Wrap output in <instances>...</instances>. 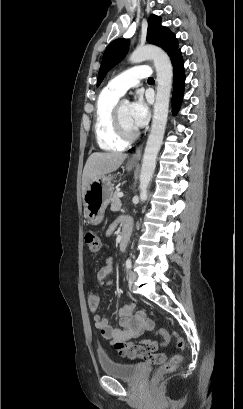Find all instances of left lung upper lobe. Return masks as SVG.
I'll list each match as a JSON object with an SVG mask.
<instances>
[{
	"label": "left lung upper lobe",
	"instance_id": "1",
	"mask_svg": "<svg viewBox=\"0 0 243 409\" xmlns=\"http://www.w3.org/2000/svg\"><path fill=\"white\" fill-rule=\"evenodd\" d=\"M147 41L162 47L170 57L178 50L175 36L168 28L161 25V18L156 15H151L148 19ZM128 47L127 39L114 40L107 46L99 69L97 86L100 85L106 73L127 54Z\"/></svg>",
	"mask_w": 243,
	"mask_h": 409
}]
</instances>
